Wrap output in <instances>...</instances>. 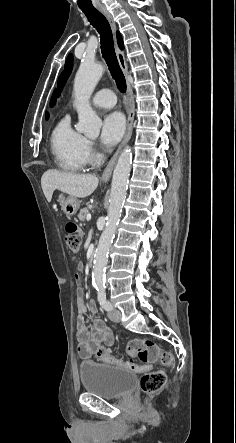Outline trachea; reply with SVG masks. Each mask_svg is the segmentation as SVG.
<instances>
[{
  "label": "trachea",
  "instance_id": "obj_1",
  "mask_svg": "<svg viewBox=\"0 0 236 443\" xmlns=\"http://www.w3.org/2000/svg\"><path fill=\"white\" fill-rule=\"evenodd\" d=\"M82 11L86 15L90 24L95 27L100 34L103 58L108 65L111 76L115 80L118 89L121 93H125L126 80L116 57L113 35L109 22L97 9H82Z\"/></svg>",
  "mask_w": 236,
  "mask_h": 443
}]
</instances>
